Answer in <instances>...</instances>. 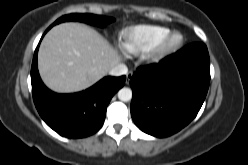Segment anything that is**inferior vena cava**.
<instances>
[{
    "label": "inferior vena cava",
    "mask_w": 248,
    "mask_h": 165,
    "mask_svg": "<svg viewBox=\"0 0 248 165\" xmlns=\"http://www.w3.org/2000/svg\"><path fill=\"white\" fill-rule=\"evenodd\" d=\"M128 72V68L125 64H117L110 69L109 74L112 76L125 75Z\"/></svg>",
    "instance_id": "1"
}]
</instances>
